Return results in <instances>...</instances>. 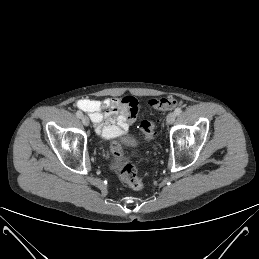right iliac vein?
<instances>
[{"label": "right iliac vein", "mask_w": 259, "mask_h": 259, "mask_svg": "<svg viewBox=\"0 0 259 259\" xmlns=\"http://www.w3.org/2000/svg\"><path fill=\"white\" fill-rule=\"evenodd\" d=\"M82 123L85 125V126H88L89 125V118L87 116H82Z\"/></svg>", "instance_id": "obj_1"}]
</instances>
